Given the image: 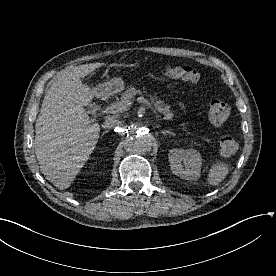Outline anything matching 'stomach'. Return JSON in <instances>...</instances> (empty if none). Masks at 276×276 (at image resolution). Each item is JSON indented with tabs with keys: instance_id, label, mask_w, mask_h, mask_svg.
I'll return each mask as SVG.
<instances>
[{
	"instance_id": "0dacf381",
	"label": "stomach",
	"mask_w": 276,
	"mask_h": 276,
	"mask_svg": "<svg viewBox=\"0 0 276 276\" xmlns=\"http://www.w3.org/2000/svg\"><path fill=\"white\" fill-rule=\"evenodd\" d=\"M124 81L121 76L114 77L111 80L95 87V94L100 97H107L124 89Z\"/></svg>"
}]
</instances>
